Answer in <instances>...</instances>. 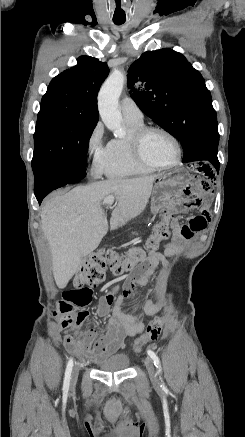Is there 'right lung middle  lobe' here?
I'll return each mask as SVG.
<instances>
[{"label": "right lung middle lobe", "mask_w": 245, "mask_h": 437, "mask_svg": "<svg viewBox=\"0 0 245 437\" xmlns=\"http://www.w3.org/2000/svg\"><path fill=\"white\" fill-rule=\"evenodd\" d=\"M98 120L62 108H40L34 133L32 169H85L89 139Z\"/></svg>", "instance_id": "dd1d6c3e"}]
</instances>
